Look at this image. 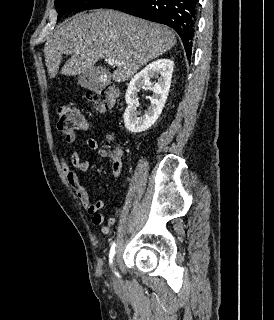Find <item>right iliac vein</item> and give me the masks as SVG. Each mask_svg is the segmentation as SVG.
Masks as SVG:
<instances>
[{
	"instance_id": "63e3f726",
	"label": "right iliac vein",
	"mask_w": 274,
	"mask_h": 320,
	"mask_svg": "<svg viewBox=\"0 0 274 320\" xmlns=\"http://www.w3.org/2000/svg\"><path fill=\"white\" fill-rule=\"evenodd\" d=\"M112 278H113V284H114V286L119 288V287L121 286L122 282H121V280H120V278H119V276H118V272H117V268H116V260L114 261L113 276H112Z\"/></svg>"
}]
</instances>
